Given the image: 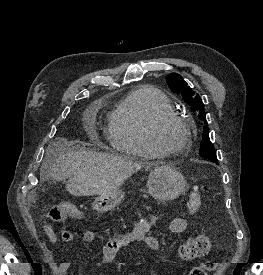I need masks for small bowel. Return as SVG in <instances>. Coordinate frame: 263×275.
Listing matches in <instances>:
<instances>
[{"label":"small bowel","instance_id":"obj_1","mask_svg":"<svg viewBox=\"0 0 263 275\" xmlns=\"http://www.w3.org/2000/svg\"><path fill=\"white\" fill-rule=\"evenodd\" d=\"M159 218V214H153L148 220L139 222L132 232L124 235H119L110 239L103 247L102 250V261L104 263H112L116 260L119 251L132 243H144L151 250L159 249V241L157 238L149 234L152 225L156 223ZM188 227V223L183 218H175L171 221L169 229L173 233H182ZM43 231L47 236L49 242L52 245H58L59 241L72 242L76 238V234L72 231L64 230L61 232L60 238L54 229L45 224L43 226ZM98 235L95 231H87L83 234L82 239L85 242H94ZM53 258L52 255H50ZM71 267V262L66 260L57 263L55 266V271L58 275H66ZM78 275H83L81 268L78 269Z\"/></svg>","mask_w":263,"mask_h":275}]
</instances>
